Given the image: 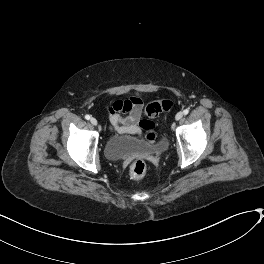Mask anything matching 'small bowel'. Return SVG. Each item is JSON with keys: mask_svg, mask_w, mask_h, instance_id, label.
Listing matches in <instances>:
<instances>
[{"mask_svg": "<svg viewBox=\"0 0 264 264\" xmlns=\"http://www.w3.org/2000/svg\"><path fill=\"white\" fill-rule=\"evenodd\" d=\"M108 121L115 132L142 136L145 119L142 118L143 101L139 97H131L125 101H117L107 109Z\"/></svg>", "mask_w": 264, "mask_h": 264, "instance_id": "1", "label": "small bowel"}]
</instances>
